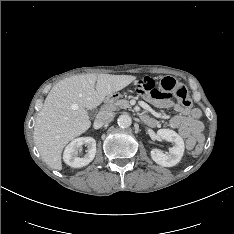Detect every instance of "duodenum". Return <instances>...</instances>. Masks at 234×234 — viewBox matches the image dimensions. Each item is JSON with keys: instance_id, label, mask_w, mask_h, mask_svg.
<instances>
[{"instance_id": "1", "label": "duodenum", "mask_w": 234, "mask_h": 234, "mask_svg": "<svg viewBox=\"0 0 234 234\" xmlns=\"http://www.w3.org/2000/svg\"><path fill=\"white\" fill-rule=\"evenodd\" d=\"M117 98H118V94H112V95L108 96L107 99L105 100L102 108L104 110L110 109Z\"/></svg>"}]
</instances>
